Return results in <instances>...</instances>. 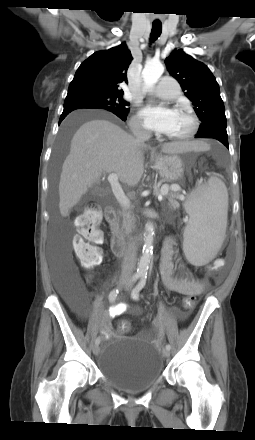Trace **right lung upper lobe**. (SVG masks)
<instances>
[{"label": "right lung upper lobe", "mask_w": 255, "mask_h": 440, "mask_svg": "<svg viewBox=\"0 0 255 440\" xmlns=\"http://www.w3.org/2000/svg\"><path fill=\"white\" fill-rule=\"evenodd\" d=\"M132 59L125 43L95 52L79 66L67 97L91 92L122 95L121 85L127 83L126 73Z\"/></svg>", "instance_id": "obj_1"}]
</instances>
